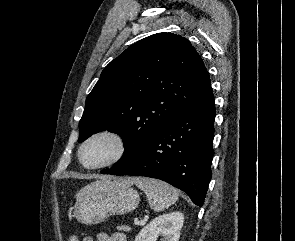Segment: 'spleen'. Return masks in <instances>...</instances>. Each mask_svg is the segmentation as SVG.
Masks as SVG:
<instances>
[{
    "instance_id": "obj_1",
    "label": "spleen",
    "mask_w": 295,
    "mask_h": 241,
    "mask_svg": "<svg viewBox=\"0 0 295 241\" xmlns=\"http://www.w3.org/2000/svg\"><path fill=\"white\" fill-rule=\"evenodd\" d=\"M134 182L139 189L145 192L151 208L156 212L167 209L178 199L177 189L163 181L152 178H136Z\"/></svg>"
}]
</instances>
